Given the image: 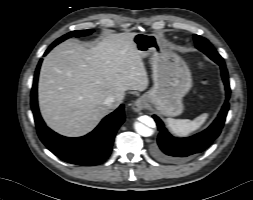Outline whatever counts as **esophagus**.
I'll return each mask as SVG.
<instances>
[{"instance_id": "34e87169", "label": "esophagus", "mask_w": 253, "mask_h": 200, "mask_svg": "<svg viewBox=\"0 0 253 200\" xmlns=\"http://www.w3.org/2000/svg\"><path fill=\"white\" fill-rule=\"evenodd\" d=\"M146 107V101L143 98H138L137 100H135L132 104V109L135 112H140L141 110H143Z\"/></svg>"}]
</instances>
